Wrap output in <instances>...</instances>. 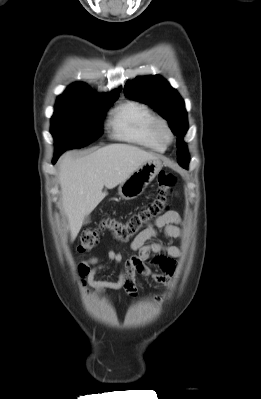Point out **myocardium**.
I'll use <instances>...</instances> for the list:
<instances>
[{
  "label": "myocardium",
  "mask_w": 261,
  "mask_h": 399,
  "mask_svg": "<svg viewBox=\"0 0 261 399\" xmlns=\"http://www.w3.org/2000/svg\"><path fill=\"white\" fill-rule=\"evenodd\" d=\"M154 131L158 139L165 145H169L174 140V133L169 123L161 117H157L154 122Z\"/></svg>",
  "instance_id": "f54148a6"
}]
</instances>
